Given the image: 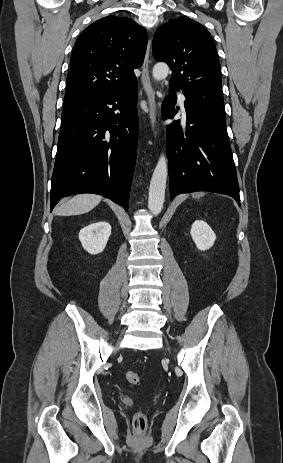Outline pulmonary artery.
<instances>
[{
	"mask_svg": "<svg viewBox=\"0 0 283 463\" xmlns=\"http://www.w3.org/2000/svg\"><path fill=\"white\" fill-rule=\"evenodd\" d=\"M177 98H178L180 107H181L183 113L185 114V108H184L185 97H184V95L182 93L177 92Z\"/></svg>",
	"mask_w": 283,
	"mask_h": 463,
	"instance_id": "1",
	"label": "pulmonary artery"
}]
</instances>
